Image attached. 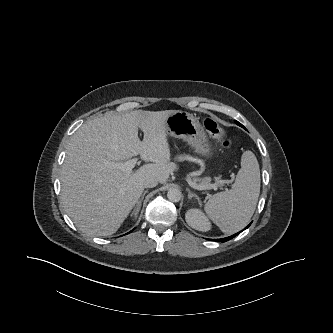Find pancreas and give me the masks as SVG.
Instances as JSON below:
<instances>
[{"mask_svg":"<svg viewBox=\"0 0 333 333\" xmlns=\"http://www.w3.org/2000/svg\"><path fill=\"white\" fill-rule=\"evenodd\" d=\"M193 158L188 155H180L177 157L178 161H184V160H192ZM209 178H195L194 182H198V185H207L209 183ZM217 182H220V178H216Z\"/></svg>","mask_w":333,"mask_h":333,"instance_id":"obj_1","label":"pancreas"}]
</instances>
